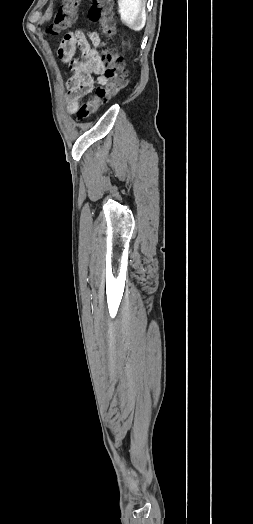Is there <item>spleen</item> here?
<instances>
[{
  "label": "spleen",
  "instance_id": "3e777b00",
  "mask_svg": "<svg viewBox=\"0 0 253 524\" xmlns=\"http://www.w3.org/2000/svg\"><path fill=\"white\" fill-rule=\"evenodd\" d=\"M121 21L130 29L140 31L146 23L142 0H118Z\"/></svg>",
  "mask_w": 253,
  "mask_h": 524
}]
</instances>
